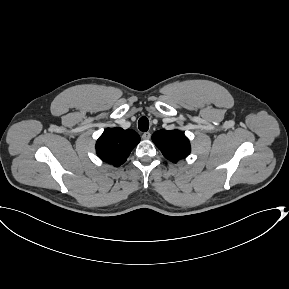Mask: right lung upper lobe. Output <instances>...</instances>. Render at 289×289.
<instances>
[{
    "label": "right lung upper lobe",
    "instance_id": "cb5924a9",
    "mask_svg": "<svg viewBox=\"0 0 289 289\" xmlns=\"http://www.w3.org/2000/svg\"><path fill=\"white\" fill-rule=\"evenodd\" d=\"M139 142V135L131 129L107 128L97 140L96 152L103 161L117 167L126 161Z\"/></svg>",
    "mask_w": 289,
    "mask_h": 289
}]
</instances>
